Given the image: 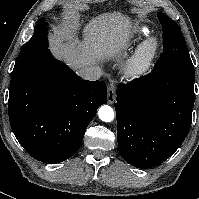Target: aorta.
I'll return each instance as SVG.
<instances>
[{"label":"aorta","instance_id":"1","mask_svg":"<svg viewBox=\"0 0 199 199\" xmlns=\"http://www.w3.org/2000/svg\"><path fill=\"white\" fill-rule=\"evenodd\" d=\"M98 116L104 122H111L113 121L115 114L112 107L103 105L98 110Z\"/></svg>","mask_w":199,"mask_h":199}]
</instances>
